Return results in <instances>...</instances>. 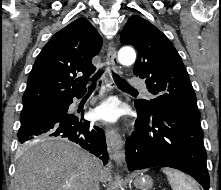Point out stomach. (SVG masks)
<instances>
[{
	"label": "stomach",
	"instance_id": "stomach-1",
	"mask_svg": "<svg viewBox=\"0 0 221 190\" xmlns=\"http://www.w3.org/2000/svg\"><path fill=\"white\" fill-rule=\"evenodd\" d=\"M134 185L140 190H149L153 186V179L149 175H136Z\"/></svg>",
	"mask_w": 221,
	"mask_h": 190
}]
</instances>
